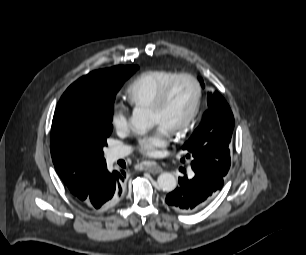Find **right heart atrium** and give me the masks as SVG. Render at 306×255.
Segmentation results:
<instances>
[{"label": "right heart atrium", "mask_w": 306, "mask_h": 255, "mask_svg": "<svg viewBox=\"0 0 306 255\" xmlns=\"http://www.w3.org/2000/svg\"><path fill=\"white\" fill-rule=\"evenodd\" d=\"M113 128L120 133L129 131L131 127L129 116L122 110H114L111 116Z\"/></svg>", "instance_id": "1"}]
</instances>
